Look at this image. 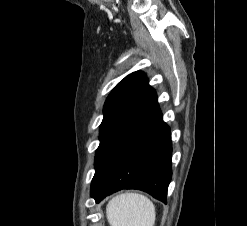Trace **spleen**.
Wrapping results in <instances>:
<instances>
[{
  "mask_svg": "<svg viewBox=\"0 0 247 226\" xmlns=\"http://www.w3.org/2000/svg\"><path fill=\"white\" fill-rule=\"evenodd\" d=\"M111 226H154L155 206L144 195L124 193L114 197L106 208Z\"/></svg>",
  "mask_w": 247,
  "mask_h": 226,
  "instance_id": "3e777b00",
  "label": "spleen"
}]
</instances>
